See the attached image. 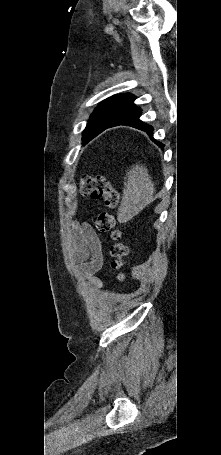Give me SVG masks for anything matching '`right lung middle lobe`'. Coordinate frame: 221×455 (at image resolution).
<instances>
[{
  "instance_id": "1",
  "label": "right lung middle lobe",
  "mask_w": 221,
  "mask_h": 455,
  "mask_svg": "<svg viewBox=\"0 0 221 455\" xmlns=\"http://www.w3.org/2000/svg\"><path fill=\"white\" fill-rule=\"evenodd\" d=\"M127 111L111 106L99 105L90 117V120L83 132V145L89 142L99 133L109 128Z\"/></svg>"
}]
</instances>
